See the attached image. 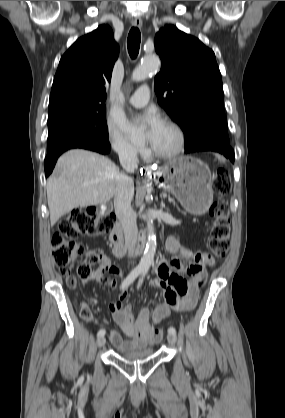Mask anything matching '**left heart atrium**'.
Here are the masks:
<instances>
[{"label": "left heart atrium", "instance_id": "obj_1", "mask_svg": "<svg viewBox=\"0 0 285 418\" xmlns=\"http://www.w3.org/2000/svg\"><path fill=\"white\" fill-rule=\"evenodd\" d=\"M136 125L146 126L148 129L149 142L153 145L157 136L165 127L163 119L153 110L138 114L134 118Z\"/></svg>", "mask_w": 285, "mask_h": 418}]
</instances>
